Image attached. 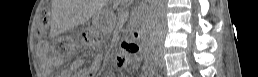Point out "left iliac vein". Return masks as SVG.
<instances>
[{
	"instance_id": "obj_1",
	"label": "left iliac vein",
	"mask_w": 258,
	"mask_h": 77,
	"mask_svg": "<svg viewBox=\"0 0 258 77\" xmlns=\"http://www.w3.org/2000/svg\"><path fill=\"white\" fill-rule=\"evenodd\" d=\"M157 58H158V63L160 65H164L165 64V61L164 59L162 58V55L161 54H157Z\"/></svg>"
}]
</instances>
